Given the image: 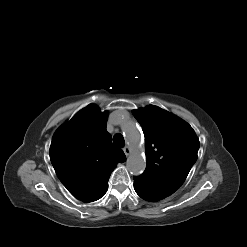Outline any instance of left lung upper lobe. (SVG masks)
Masks as SVG:
<instances>
[{"label": "left lung upper lobe", "instance_id": "left-lung-upper-lobe-1", "mask_svg": "<svg viewBox=\"0 0 247 247\" xmlns=\"http://www.w3.org/2000/svg\"><path fill=\"white\" fill-rule=\"evenodd\" d=\"M145 136L147 166L139 176L155 191L169 196L185 181L200 146L192 127L157 106L134 110Z\"/></svg>", "mask_w": 247, "mask_h": 247}]
</instances>
